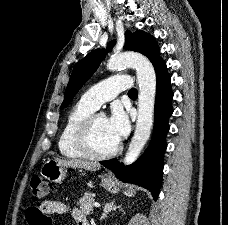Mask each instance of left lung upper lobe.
<instances>
[{"instance_id": "5c2ea615", "label": "left lung upper lobe", "mask_w": 228, "mask_h": 225, "mask_svg": "<svg viewBox=\"0 0 228 225\" xmlns=\"http://www.w3.org/2000/svg\"><path fill=\"white\" fill-rule=\"evenodd\" d=\"M114 43L115 41L108 44V51L113 48ZM125 48L145 55L150 59L153 66L162 60L159 56L160 49L155 38L142 30H137L134 33L127 31L125 33ZM105 56V49H96L76 63L65 91L64 101L60 107L61 109L70 103L74 95L95 72Z\"/></svg>"}]
</instances>
